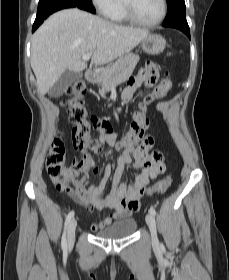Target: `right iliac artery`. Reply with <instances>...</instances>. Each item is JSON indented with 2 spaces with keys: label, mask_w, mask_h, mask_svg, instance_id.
Masks as SVG:
<instances>
[{
  "label": "right iliac artery",
  "mask_w": 229,
  "mask_h": 280,
  "mask_svg": "<svg viewBox=\"0 0 229 280\" xmlns=\"http://www.w3.org/2000/svg\"><path fill=\"white\" fill-rule=\"evenodd\" d=\"M74 216V211H71L68 213L67 217H66V221H65V229H64V233H63V236H62V248L63 249H66L67 248V240H66V229H67V226L69 224V222L71 221V219L73 218Z\"/></svg>",
  "instance_id": "82829eb1"
}]
</instances>
